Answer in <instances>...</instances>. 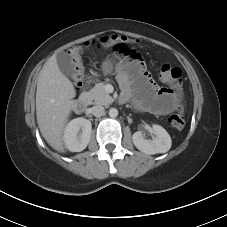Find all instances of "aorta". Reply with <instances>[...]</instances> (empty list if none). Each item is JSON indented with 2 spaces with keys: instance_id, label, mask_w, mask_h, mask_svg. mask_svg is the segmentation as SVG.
I'll use <instances>...</instances> for the list:
<instances>
[{
  "instance_id": "aorta-1",
  "label": "aorta",
  "mask_w": 227,
  "mask_h": 227,
  "mask_svg": "<svg viewBox=\"0 0 227 227\" xmlns=\"http://www.w3.org/2000/svg\"><path fill=\"white\" fill-rule=\"evenodd\" d=\"M109 116H110L111 118L117 117V116H118V110H117L116 108H111V109L109 110Z\"/></svg>"
}]
</instances>
